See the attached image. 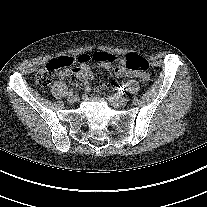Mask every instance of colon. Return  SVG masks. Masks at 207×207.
Wrapping results in <instances>:
<instances>
[{
    "mask_svg": "<svg viewBox=\"0 0 207 207\" xmlns=\"http://www.w3.org/2000/svg\"><path fill=\"white\" fill-rule=\"evenodd\" d=\"M84 59L86 61H98L104 63H113L117 61V57L114 54L98 52L93 54H85ZM78 62H81L78 59ZM77 63L76 59L72 56H60L54 60L48 62L43 69H41L36 75V83L38 86L45 88L48 87L54 80V72L59 69H72ZM125 67L131 72L146 73L149 69L148 60L136 53H130L126 56L124 61Z\"/></svg>",
    "mask_w": 207,
    "mask_h": 207,
    "instance_id": "colon-1",
    "label": "colon"
}]
</instances>
